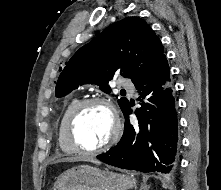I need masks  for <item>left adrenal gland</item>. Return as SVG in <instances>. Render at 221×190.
Listing matches in <instances>:
<instances>
[{
  "label": "left adrenal gland",
  "mask_w": 221,
  "mask_h": 190,
  "mask_svg": "<svg viewBox=\"0 0 221 190\" xmlns=\"http://www.w3.org/2000/svg\"><path fill=\"white\" fill-rule=\"evenodd\" d=\"M146 187H147V185L142 184V185H141V188H140L139 190H145V189H146Z\"/></svg>",
  "instance_id": "1"
}]
</instances>
